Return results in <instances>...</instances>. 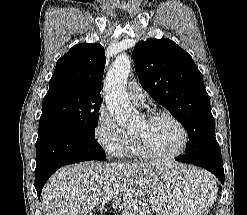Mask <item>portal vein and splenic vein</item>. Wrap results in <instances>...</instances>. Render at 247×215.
Wrapping results in <instances>:
<instances>
[{"mask_svg":"<svg viewBox=\"0 0 247 215\" xmlns=\"http://www.w3.org/2000/svg\"><path fill=\"white\" fill-rule=\"evenodd\" d=\"M112 195H113V193H112V192H109V193L107 194V197L104 199V203L109 202V200H110V198L112 197Z\"/></svg>","mask_w":247,"mask_h":215,"instance_id":"1","label":"portal vein and splenic vein"}]
</instances>
